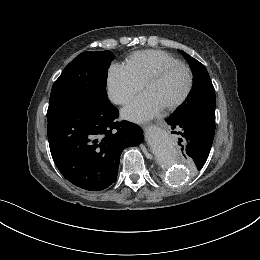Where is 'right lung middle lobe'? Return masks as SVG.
<instances>
[{
  "label": "right lung middle lobe",
  "mask_w": 260,
  "mask_h": 260,
  "mask_svg": "<svg viewBox=\"0 0 260 260\" xmlns=\"http://www.w3.org/2000/svg\"><path fill=\"white\" fill-rule=\"evenodd\" d=\"M110 51L83 52L70 62L55 81L47 114L62 110H93L109 103L106 92Z\"/></svg>",
  "instance_id": "1"
}]
</instances>
